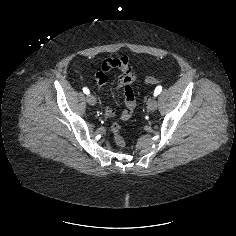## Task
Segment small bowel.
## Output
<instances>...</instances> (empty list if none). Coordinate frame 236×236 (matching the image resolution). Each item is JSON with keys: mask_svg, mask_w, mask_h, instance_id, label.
Returning <instances> with one entry per match:
<instances>
[{"mask_svg": "<svg viewBox=\"0 0 236 236\" xmlns=\"http://www.w3.org/2000/svg\"><path fill=\"white\" fill-rule=\"evenodd\" d=\"M114 70L121 72L117 84L124 90L125 108L121 112V119L128 120L136 105L135 96L131 86L137 79V70L127 56L105 59L102 62L101 69L95 73V80L100 90L105 88L109 81V73ZM115 114L116 111L114 108L104 106L105 117L111 118L115 116Z\"/></svg>", "mask_w": 236, "mask_h": 236, "instance_id": "small-bowel-1", "label": "small bowel"}]
</instances>
